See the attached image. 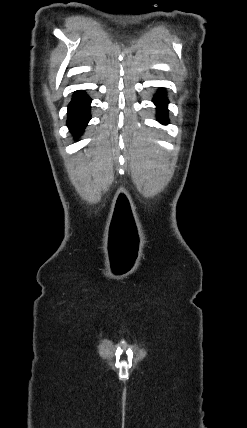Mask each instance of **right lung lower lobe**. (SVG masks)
I'll return each mask as SVG.
<instances>
[{"label": "right lung lower lobe", "mask_w": 247, "mask_h": 428, "mask_svg": "<svg viewBox=\"0 0 247 428\" xmlns=\"http://www.w3.org/2000/svg\"><path fill=\"white\" fill-rule=\"evenodd\" d=\"M90 120V98L83 91H76L68 105L67 126L79 136Z\"/></svg>", "instance_id": "98d812e1"}]
</instances>
